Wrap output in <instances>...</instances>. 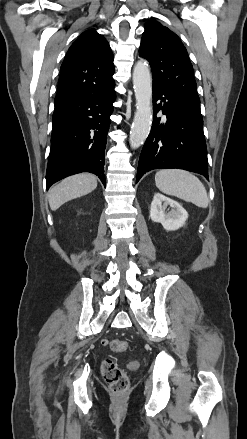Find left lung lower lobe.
Returning <instances> with one entry per match:
<instances>
[{"instance_id":"1","label":"left lung lower lobe","mask_w":247,"mask_h":439,"mask_svg":"<svg viewBox=\"0 0 247 439\" xmlns=\"http://www.w3.org/2000/svg\"><path fill=\"white\" fill-rule=\"evenodd\" d=\"M154 119L142 149L136 183L153 169L179 168L208 179L207 148L200 107L180 95L153 85ZM166 123L156 117L159 110Z\"/></svg>"}]
</instances>
